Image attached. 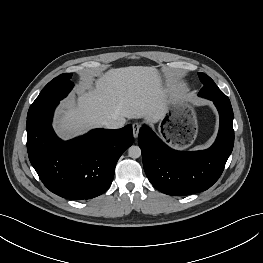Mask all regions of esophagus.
Returning <instances> with one entry per match:
<instances>
[{"label":"esophagus","mask_w":263,"mask_h":263,"mask_svg":"<svg viewBox=\"0 0 263 263\" xmlns=\"http://www.w3.org/2000/svg\"><path fill=\"white\" fill-rule=\"evenodd\" d=\"M132 128H133V136H134V138H137L139 131H140V128H141V125L136 122V123H133Z\"/></svg>","instance_id":"obj_1"}]
</instances>
